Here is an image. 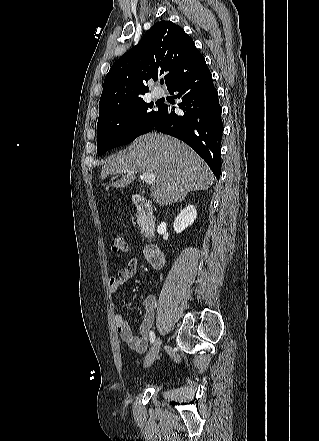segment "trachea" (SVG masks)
Listing matches in <instances>:
<instances>
[{
  "label": "trachea",
  "mask_w": 319,
  "mask_h": 441,
  "mask_svg": "<svg viewBox=\"0 0 319 441\" xmlns=\"http://www.w3.org/2000/svg\"><path fill=\"white\" fill-rule=\"evenodd\" d=\"M160 83H161V84H164V81H163V80H161V81H160Z\"/></svg>",
  "instance_id": "3493384b"
}]
</instances>
